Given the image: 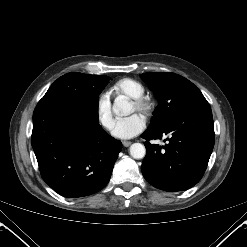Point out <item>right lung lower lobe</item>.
Returning <instances> with one entry per match:
<instances>
[{
  "mask_svg": "<svg viewBox=\"0 0 247 247\" xmlns=\"http://www.w3.org/2000/svg\"><path fill=\"white\" fill-rule=\"evenodd\" d=\"M31 144L43 180L68 198L104 188L122 149L98 124L93 100L60 96L43 97L37 104Z\"/></svg>",
  "mask_w": 247,
  "mask_h": 247,
  "instance_id": "98d812e1",
  "label": "right lung lower lobe"
}]
</instances>
